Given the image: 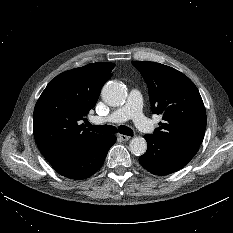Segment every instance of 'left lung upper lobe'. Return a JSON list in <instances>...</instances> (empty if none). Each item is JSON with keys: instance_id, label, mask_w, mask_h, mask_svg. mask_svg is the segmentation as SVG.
<instances>
[{"instance_id": "5c2ea615", "label": "left lung upper lobe", "mask_w": 233, "mask_h": 233, "mask_svg": "<svg viewBox=\"0 0 233 233\" xmlns=\"http://www.w3.org/2000/svg\"><path fill=\"white\" fill-rule=\"evenodd\" d=\"M149 88L151 109L163 122L152 134L168 143L199 147L206 129V111L195 84L178 70L155 62L132 61Z\"/></svg>"}]
</instances>
